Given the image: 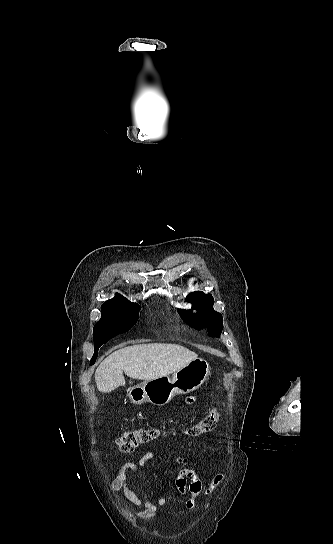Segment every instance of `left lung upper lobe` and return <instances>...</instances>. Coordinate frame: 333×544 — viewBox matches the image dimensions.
<instances>
[{
    "label": "left lung upper lobe",
    "mask_w": 333,
    "mask_h": 544,
    "mask_svg": "<svg viewBox=\"0 0 333 544\" xmlns=\"http://www.w3.org/2000/svg\"><path fill=\"white\" fill-rule=\"evenodd\" d=\"M187 300L193 303V309H196L197 313L180 310L182 319L195 329L207 327L209 335L219 337L223 328V318L212 307L214 303L212 295L195 292L190 294Z\"/></svg>",
    "instance_id": "obj_1"
}]
</instances>
